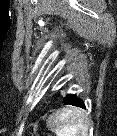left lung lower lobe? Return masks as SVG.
Here are the masks:
<instances>
[{"mask_svg":"<svg viewBox=\"0 0 117 136\" xmlns=\"http://www.w3.org/2000/svg\"><path fill=\"white\" fill-rule=\"evenodd\" d=\"M64 104H69V105H73V106H77L80 108H84L85 109V105L83 100H81L79 97H77L76 94H66V96L63 99Z\"/></svg>","mask_w":117,"mask_h":136,"instance_id":"0a47b994","label":"left lung lower lobe"}]
</instances>
